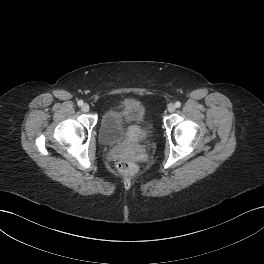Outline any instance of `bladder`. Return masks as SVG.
<instances>
[{
  "instance_id": "31cf9c89",
  "label": "bladder",
  "mask_w": 264,
  "mask_h": 264,
  "mask_svg": "<svg viewBox=\"0 0 264 264\" xmlns=\"http://www.w3.org/2000/svg\"><path fill=\"white\" fill-rule=\"evenodd\" d=\"M133 133L145 140H151L155 135L154 125L143 105L130 101L121 110L109 109L102 115L99 124L102 144L113 146L127 143Z\"/></svg>"
}]
</instances>
